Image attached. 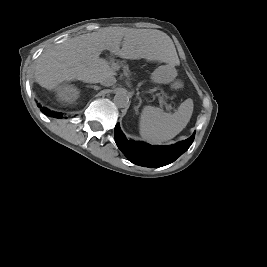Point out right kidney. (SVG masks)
Segmentation results:
<instances>
[{"label": "right kidney", "instance_id": "ca27d5eb", "mask_svg": "<svg viewBox=\"0 0 267 267\" xmlns=\"http://www.w3.org/2000/svg\"><path fill=\"white\" fill-rule=\"evenodd\" d=\"M80 91L74 85H62L57 89V96L61 101L74 102L79 97Z\"/></svg>", "mask_w": 267, "mask_h": 267}]
</instances>
